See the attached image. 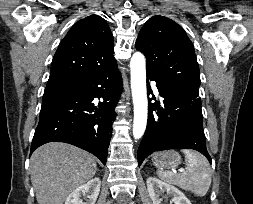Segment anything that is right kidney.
<instances>
[{
	"mask_svg": "<svg viewBox=\"0 0 253 204\" xmlns=\"http://www.w3.org/2000/svg\"><path fill=\"white\" fill-rule=\"evenodd\" d=\"M101 181L98 177L91 179L84 185L75 189L66 199L65 204H95L99 192ZM82 197L86 199L83 202Z\"/></svg>",
	"mask_w": 253,
	"mask_h": 204,
	"instance_id": "ca27d5eb",
	"label": "right kidney"
}]
</instances>
